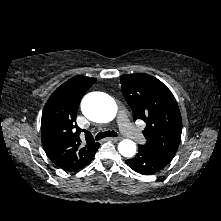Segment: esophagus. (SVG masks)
<instances>
[{
    "instance_id": "34e87169",
    "label": "esophagus",
    "mask_w": 221,
    "mask_h": 221,
    "mask_svg": "<svg viewBox=\"0 0 221 221\" xmlns=\"http://www.w3.org/2000/svg\"><path fill=\"white\" fill-rule=\"evenodd\" d=\"M122 138L121 137H113V138H110L111 141L113 142H118L120 141Z\"/></svg>"
}]
</instances>
